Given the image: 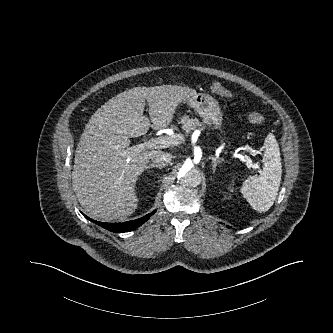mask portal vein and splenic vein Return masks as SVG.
Returning <instances> with one entry per match:
<instances>
[{
	"label": "portal vein and splenic vein",
	"mask_w": 333,
	"mask_h": 333,
	"mask_svg": "<svg viewBox=\"0 0 333 333\" xmlns=\"http://www.w3.org/2000/svg\"><path fill=\"white\" fill-rule=\"evenodd\" d=\"M179 135H172V136H162L158 138H152L151 140L144 142L142 144H138L132 147L133 151L135 152H141L145 149H160V148H168L172 145L179 144L180 142L178 141ZM245 159L246 166L249 170L259 166L253 165L252 161L250 158L245 155L242 156Z\"/></svg>",
	"instance_id": "obj_1"
}]
</instances>
